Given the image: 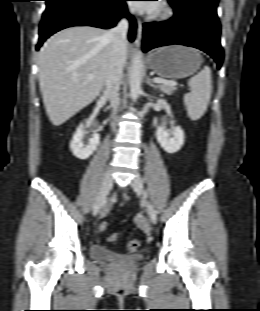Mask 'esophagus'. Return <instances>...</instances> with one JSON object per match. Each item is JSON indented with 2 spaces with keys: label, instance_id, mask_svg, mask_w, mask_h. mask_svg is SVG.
Returning <instances> with one entry per match:
<instances>
[{
  "label": "esophagus",
  "instance_id": "obj_1",
  "mask_svg": "<svg viewBox=\"0 0 260 311\" xmlns=\"http://www.w3.org/2000/svg\"><path fill=\"white\" fill-rule=\"evenodd\" d=\"M141 39H142V22H141V20L138 18V19H137V38H136L135 43L139 45Z\"/></svg>",
  "mask_w": 260,
  "mask_h": 311
}]
</instances>
